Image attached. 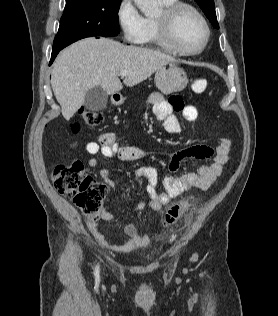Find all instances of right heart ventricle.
Instances as JSON below:
<instances>
[{"label": "right heart ventricle", "mask_w": 278, "mask_h": 316, "mask_svg": "<svg viewBox=\"0 0 278 316\" xmlns=\"http://www.w3.org/2000/svg\"><path fill=\"white\" fill-rule=\"evenodd\" d=\"M159 1L164 7H168L174 4L177 0ZM139 43L142 45L158 47L173 54L179 53L171 45H169L161 36L157 25V17L144 18V31Z\"/></svg>", "instance_id": "e07e8e85"}]
</instances>
